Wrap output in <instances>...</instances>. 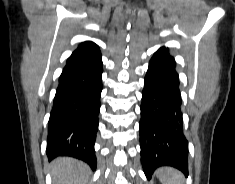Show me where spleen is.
Here are the masks:
<instances>
[{
  "mask_svg": "<svg viewBox=\"0 0 235 184\" xmlns=\"http://www.w3.org/2000/svg\"><path fill=\"white\" fill-rule=\"evenodd\" d=\"M156 176L161 184H184V176L175 168H158Z\"/></svg>",
  "mask_w": 235,
  "mask_h": 184,
  "instance_id": "obj_1",
  "label": "spleen"
}]
</instances>
